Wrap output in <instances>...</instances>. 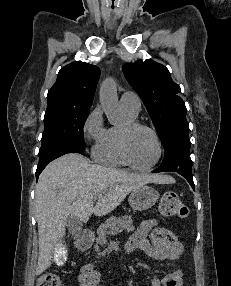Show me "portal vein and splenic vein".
Instances as JSON below:
<instances>
[{"instance_id": "1", "label": "portal vein and splenic vein", "mask_w": 231, "mask_h": 286, "mask_svg": "<svg viewBox=\"0 0 231 286\" xmlns=\"http://www.w3.org/2000/svg\"><path fill=\"white\" fill-rule=\"evenodd\" d=\"M99 198V196H96L94 199L96 200V199H98Z\"/></svg>"}]
</instances>
